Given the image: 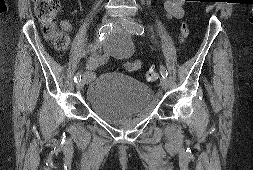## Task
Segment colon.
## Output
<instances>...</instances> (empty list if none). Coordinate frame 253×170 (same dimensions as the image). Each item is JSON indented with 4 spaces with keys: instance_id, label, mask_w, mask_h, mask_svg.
I'll use <instances>...</instances> for the list:
<instances>
[{
    "instance_id": "obj_1",
    "label": "colon",
    "mask_w": 253,
    "mask_h": 170,
    "mask_svg": "<svg viewBox=\"0 0 253 170\" xmlns=\"http://www.w3.org/2000/svg\"><path fill=\"white\" fill-rule=\"evenodd\" d=\"M33 3L35 14L42 25L44 36L53 42L57 50H65L68 46V37L55 26V18L60 9L59 0H33ZM189 34L190 30L187 21H184L180 28V37L186 39ZM145 76L150 82H155L159 79V73L155 70L147 71Z\"/></svg>"
}]
</instances>
